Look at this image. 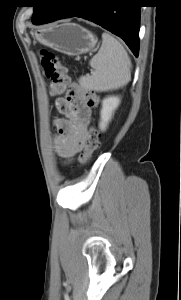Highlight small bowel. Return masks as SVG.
<instances>
[{
    "label": "small bowel",
    "instance_id": "c3829d8e",
    "mask_svg": "<svg viewBox=\"0 0 181 300\" xmlns=\"http://www.w3.org/2000/svg\"><path fill=\"white\" fill-rule=\"evenodd\" d=\"M65 104L71 106V114L55 119L57 135L54 138V148L61 157L70 159L83 145L90 109L83 101L72 103L66 97H60L56 100L59 112Z\"/></svg>",
    "mask_w": 181,
    "mask_h": 300
}]
</instances>
